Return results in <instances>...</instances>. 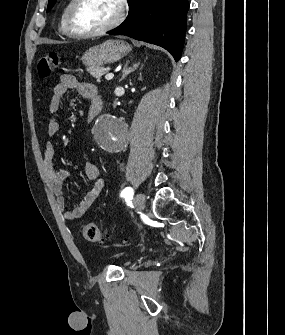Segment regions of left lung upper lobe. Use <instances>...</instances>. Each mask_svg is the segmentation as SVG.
<instances>
[{
	"label": "left lung upper lobe",
	"mask_w": 285,
	"mask_h": 335,
	"mask_svg": "<svg viewBox=\"0 0 285 335\" xmlns=\"http://www.w3.org/2000/svg\"><path fill=\"white\" fill-rule=\"evenodd\" d=\"M55 2H56V0H49L47 11H49L54 6Z\"/></svg>",
	"instance_id": "1"
}]
</instances>
